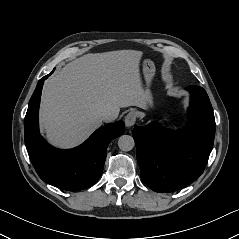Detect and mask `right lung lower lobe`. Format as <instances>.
<instances>
[{"label": "right lung lower lobe", "mask_w": 239, "mask_h": 239, "mask_svg": "<svg viewBox=\"0 0 239 239\" xmlns=\"http://www.w3.org/2000/svg\"><path fill=\"white\" fill-rule=\"evenodd\" d=\"M49 75L39 80L25 116L27 152L37 174L43 181L68 191L83 190L95 184L100 178L107 147L114 138L124 133L125 125L123 121L107 124L74 149L59 150L50 146L42 138L38 129L42 86Z\"/></svg>", "instance_id": "right-lung-lower-lobe-1"}]
</instances>
